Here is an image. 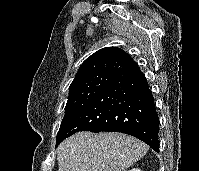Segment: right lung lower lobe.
<instances>
[{"label":"right lung lower lobe","instance_id":"1","mask_svg":"<svg viewBox=\"0 0 199 171\" xmlns=\"http://www.w3.org/2000/svg\"><path fill=\"white\" fill-rule=\"evenodd\" d=\"M79 131L126 133L159 152V117L138 65L120 72L99 89L71 121L56 146Z\"/></svg>","mask_w":199,"mask_h":171}]
</instances>
